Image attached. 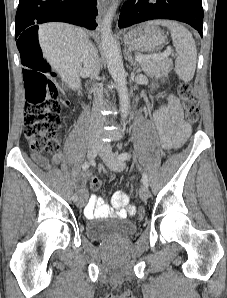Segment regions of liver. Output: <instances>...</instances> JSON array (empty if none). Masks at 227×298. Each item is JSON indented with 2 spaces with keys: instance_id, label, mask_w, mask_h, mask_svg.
Returning <instances> with one entry per match:
<instances>
[{
  "instance_id": "obj_1",
  "label": "liver",
  "mask_w": 227,
  "mask_h": 298,
  "mask_svg": "<svg viewBox=\"0 0 227 298\" xmlns=\"http://www.w3.org/2000/svg\"><path fill=\"white\" fill-rule=\"evenodd\" d=\"M38 38L53 70L69 88L77 90L81 85L83 54L89 43L85 31L65 23H46L39 26Z\"/></svg>"
}]
</instances>
